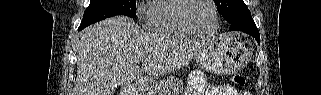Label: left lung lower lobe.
I'll use <instances>...</instances> for the list:
<instances>
[{
  "instance_id": "0a47b994",
  "label": "left lung lower lobe",
  "mask_w": 321,
  "mask_h": 95,
  "mask_svg": "<svg viewBox=\"0 0 321 95\" xmlns=\"http://www.w3.org/2000/svg\"><path fill=\"white\" fill-rule=\"evenodd\" d=\"M230 31H242L245 32L251 36H253L258 43H260V35L259 31L251 18V16H248L246 18L240 19L236 22H233L229 28Z\"/></svg>"
}]
</instances>
